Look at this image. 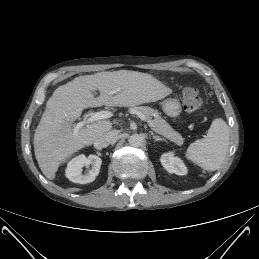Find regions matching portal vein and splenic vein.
<instances>
[{
    "mask_svg": "<svg viewBox=\"0 0 259 259\" xmlns=\"http://www.w3.org/2000/svg\"><path fill=\"white\" fill-rule=\"evenodd\" d=\"M114 91H111L109 94H114ZM132 114H136L141 120L146 121V117L144 114H142L141 112H132ZM112 112L110 111H100V112H95L92 113L91 116L88 119H85L83 121L77 122L75 124H73L74 127V134H77L78 131L83 128V126L90 124L92 122L98 121V120H102V119H107L110 118L112 116Z\"/></svg>",
    "mask_w": 259,
    "mask_h": 259,
    "instance_id": "obj_1",
    "label": "portal vein and splenic vein"
}]
</instances>
